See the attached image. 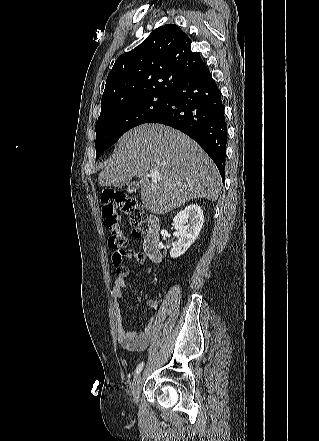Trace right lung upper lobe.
<instances>
[{
	"mask_svg": "<svg viewBox=\"0 0 319 441\" xmlns=\"http://www.w3.org/2000/svg\"><path fill=\"white\" fill-rule=\"evenodd\" d=\"M177 25L155 29L139 46L121 55L110 71L101 100L106 108L147 96H170L205 64Z\"/></svg>",
	"mask_w": 319,
	"mask_h": 441,
	"instance_id": "1",
	"label": "right lung upper lobe"
}]
</instances>
